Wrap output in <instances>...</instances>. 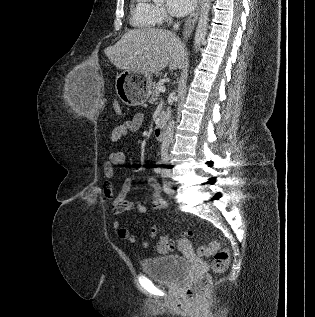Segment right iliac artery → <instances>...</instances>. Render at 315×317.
<instances>
[{
  "label": "right iliac artery",
  "instance_id": "right-iliac-artery-1",
  "mask_svg": "<svg viewBox=\"0 0 315 317\" xmlns=\"http://www.w3.org/2000/svg\"><path fill=\"white\" fill-rule=\"evenodd\" d=\"M159 164H161V163H159ZM155 172H156L157 174L161 173V167H160V166L156 167V168H155Z\"/></svg>",
  "mask_w": 315,
  "mask_h": 317
}]
</instances>
